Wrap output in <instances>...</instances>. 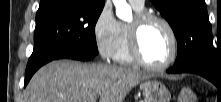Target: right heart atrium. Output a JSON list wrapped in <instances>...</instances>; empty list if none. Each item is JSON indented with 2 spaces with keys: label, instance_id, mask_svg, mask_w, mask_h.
I'll use <instances>...</instances> for the list:
<instances>
[{
  "label": "right heart atrium",
  "instance_id": "1",
  "mask_svg": "<svg viewBox=\"0 0 221 102\" xmlns=\"http://www.w3.org/2000/svg\"><path fill=\"white\" fill-rule=\"evenodd\" d=\"M121 38L120 22L108 5L102 7L93 23V39L98 53L104 59L114 57Z\"/></svg>",
  "mask_w": 221,
  "mask_h": 102
}]
</instances>
